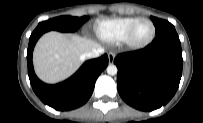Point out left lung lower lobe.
Returning <instances> with one entry per match:
<instances>
[{"label":"left lung lower lobe","mask_w":203,"mask_h":123,"mask_svg":"<svg viewBox=\"0 0 203 123\" xmlns=\"http://www.w3.org/2000/svg\"><path fill=\"white\" fill-rule=\"evenodd\" d=\"M114 63L122 99L138 110L158 109L179 87L183 68L179 37L175 30L166 31L141 50L117 55Z\"/></svg>","instance_id":"1"}]
</instances>
